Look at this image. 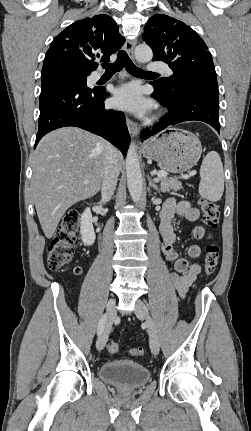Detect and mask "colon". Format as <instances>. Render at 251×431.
<instances>
[{"label": "colon", "instance_id": "1", "mask_svg": "<svg viewBox=\"0 0 251 431\" xmlns=\"http://www.w3.org/2000/svg\"><path fill=\"white\" fill-rule=\"evenodd\" d=\"M199 206L202 211V219L204 224L210 228L215 229L218 226L220 211L218 205L210 200L200 198ZM80 213L76 209H71L62 218V221L48 246V267L51 270H58L73 257L74 242L78 236ZM220 250L217 244L209 243L206 246L205 255V273L211 276L216 271L219 263ZM81 267L74 268V273L79 274ZM106 349L110 354H116L119 350V345L113 340L106 343ZM145 351L141 347L132 348L130 354L133 356H142Z\"/></svg>", "mask_w": 251, "mask_h": 431}]
</instances>
